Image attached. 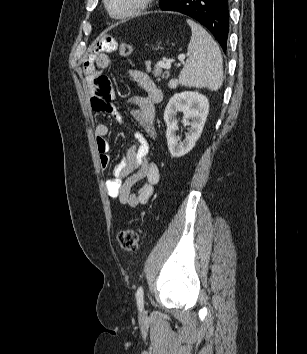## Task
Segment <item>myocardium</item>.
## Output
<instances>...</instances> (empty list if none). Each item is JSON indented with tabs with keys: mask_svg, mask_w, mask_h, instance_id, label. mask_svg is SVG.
<instances>
[{
	"mask_svg": "<svg viewBox=\"0 0 307 354\" xmlns=\"http://www.w3.org/2000/svg\"><path fill=\"white\" fill-rule=\"evenodd\" d=\"M154 0H136L135 3L126 11L122 13H114L110 6V0H104V5L109 16L116 20H123L130 18L139 12L147 9Z\"/></svg>",
	"mask_w": 307,
	"mask_h": 354,
	"instance_id": "1",
	"label": "myocardium"
}]
</instances>
